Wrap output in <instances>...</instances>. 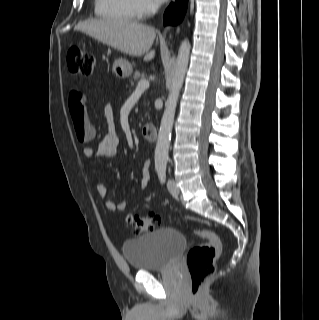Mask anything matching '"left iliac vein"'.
Instances as JSON below:
<instances>
[{
    "mask_svg": "<svg viewBox=\"0 0 319 320\" xmlns=\"http://www.w3.org/2000/svg\"><path fill=\"white\" fill-rule=\"evenodd\" d=\"M167 187H168L169 192L173 196H177L179 194V188L176 185L174 180H172V179L168 180Z\"/></svg>",
    "mask_w": 319,
    "mask_h": 320,
    "instance_id": "4c4485c4",
    "label": "left iliac vein"
}]
</instances>
